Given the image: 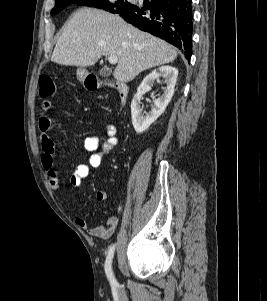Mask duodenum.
<instances>
[{
    "label": "duodenum",
    "instance_id": "410a0bca",
    "mask_svg": "<svg viewBox=\"0 0 267 301\" xmlns=\"http://www.w3.org/2000/svg\"><path fill=\"white\" fill-rule=\"evenodd\" d=\"M85 84H86L87 89H89V90H97L102 87L115 88L118 92L120 105L123 106L126 102V98L128 95V87L124 82L116 81L113 83H106V82L98 81L92 75H86L85 76Z\"/></svg>",
    "mask_w": 267,
    "mask_h": 301
}]
</instances>
